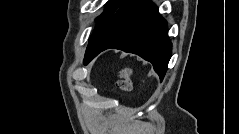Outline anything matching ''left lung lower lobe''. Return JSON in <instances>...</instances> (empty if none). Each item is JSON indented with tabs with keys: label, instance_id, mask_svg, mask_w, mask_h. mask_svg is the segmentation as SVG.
I'll return each instance as SVG.
<instances>
[{
	"label": "left lung lower lobe",
	"instance_id": "1",
	"mask_svg": "<svg viewBox=\"0 0 239 134\" xmlns=\"http://www.w3.org/2000/svg\"><path fill=\"white\" fill-rule=\"evenodd\" d=\"M115 48L137 54L153 64L163 79L171 58L167 23L149 0H125L105 27L89 39L84 64Z\"/></svg>",
	"mask_w": 239,
	"mask_h": 134
}]
</instances>
